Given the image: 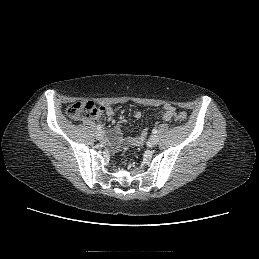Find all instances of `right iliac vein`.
<instances>
[{
	"instance_id": "63e3f726",
	"label": "right iliac vein",
	"mask_w": 259,
	"mask_h": 259,
	"mask_svg": "<svg viewBox=\"0 0 259 259\" xmlns=\"http://www.w3.org/2000/svg\"><path fill=\"white\" fill-rule=\"evenodd\" d=\"M96 138L98 139V140H102L103 138H104V132L103 131H97L96 132Z\"/></svg>"
}]
</instances>
